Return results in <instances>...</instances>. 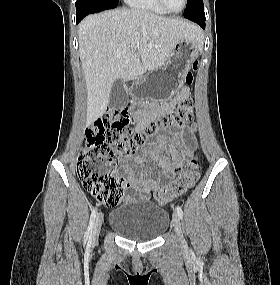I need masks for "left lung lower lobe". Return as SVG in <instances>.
<instances>
[{"label": "left lung lower lobe", "mask_w": 280, "mask_h": 285, "mask_svg": "<svg viewBox=\"0 0 280 285\" xmlns=\"http://www.w3.org/2000/svg\"><path fill=\"white\" fill-rule=\"evenodd\" d=\"M192 21L199 24L203 29L205 28V15L198 18H192Z\"/></svg>", "instance_id": "left-lung-lower-lobe-1"}]
</instances>
